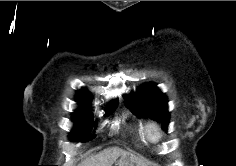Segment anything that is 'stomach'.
<instances>
[{
  "label": "stomach",
  "mask_w": 236,
  "mask_h": 166,
  "mask_svg": "<svg viewBox=\"0 0 236 166\" xmlns=\"http://www.w3.org/2000/svg\"><path fill=\"white\" fill-rule=\"evenodd\" d=\"M117 165L118 166H137L136 163H133V159L131 155L121 157Z\"/></svg>",
  "instance_id": "obj_1"
}]
</instances>
